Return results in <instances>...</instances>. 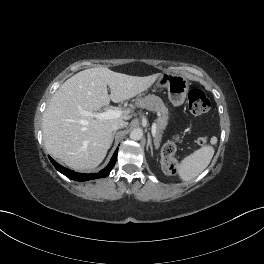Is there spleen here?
Returning <instances> with one entry per match:
<instances>
[{
	"instance_id": "spleen-1",
	"label": "spleen",
	"mask_w": 264,
	"mask_h": 264,
	"mask_svg": "<svg viewBox=\"0 0 264 264\" xmlns=\"http://www.w3.org/2000/svg\"><path fill=\"white\" fill-rule=\"evenodd\" d=\"M214 155V148L206 145L185 157L177 165V173L183 181H190L201 174L210 164Z\"/></svg>"
}]
</instances>
